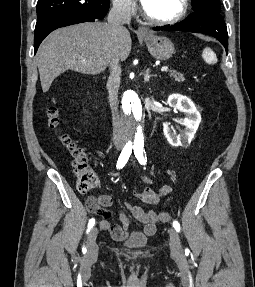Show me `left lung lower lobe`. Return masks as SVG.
<instances>
[{"instance_id": "0a47b994", "label": "left lung lower lobe", "mask_w": 255, "mask_h": 287, "mask_svg": "<svg viewBox=\"0 0 255 287\" xmlns=\"http://www.w3.org/2000/svg\"><path fill=\"white\" fill-rule=\"evenodd\" d=\"M156 31H187L195 33H203L218 39L228 52V33L226 24L220 13L212 10L199 9L195 10L184 21L175 25H166L162 27H154Z\"/></svg>"}]
</instances>
